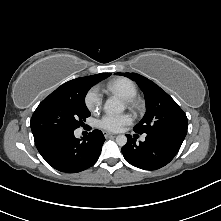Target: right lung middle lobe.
I'll return each instance as SVG.
<instances>
[{
  "label": "right lung middle lobe",
  "instance_id": "1",
  "mask_svg": "<svg viewBox=\"0 0 221 221\" xmlns=\"http://www.w3.org/2000/svg\"><path fill=\"white\" fill-rule=\"evenodd\" d=\"M110 75V73H101L94 79L81 78L73 90L51 93L33 113L30 122L32 133L36 134L50 129L75 130L80 127L90 116L85 105L88 90Z\"/></svg>",
  "mask_w": 221,
  "mask_h": 221
}]
</instances>
